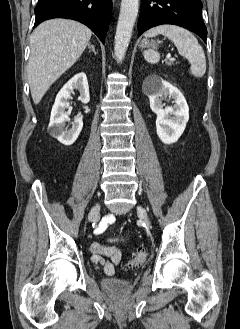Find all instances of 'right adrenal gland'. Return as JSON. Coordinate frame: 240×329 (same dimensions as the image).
I'll use <instances>...</instances> for the list:
<instances>
[{
    "label": "right adrenal gland",
    "instance_id": "right-adrenal-gland-1",
    "mask_svg": "<svg viewBox=\"0 0 240 329\" xmlns=\"http://www.w3.org/2000/svg\"><path fill=\"white\" fill-rule=\"evenodd\" d=\"M88 48H89V53L92 51L95 55L97 54L94 45H88Z\"/></svg>",
    "mask_w": 240,
    "mask_h": 329
}]
</instances>
